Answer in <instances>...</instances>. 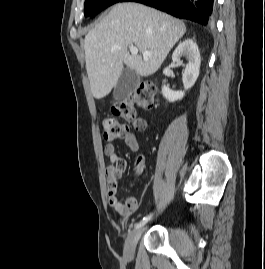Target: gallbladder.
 <instances>
[{"instance_id": "1", "label": "gallbladder", "mask_w": 265, "mask_h": 269, "mask_svg": "<svg viewBox=\"0 0 265 269\" xmlns=\"http://www.w3.org/2000/svg\"><path fill=\"white\" fill-rule=\"evenodd\" d=\"M139 75L130 68L123 69L113 91L114 100H123L131 95L139 83Z\"/></svg>"}]
</instances>
